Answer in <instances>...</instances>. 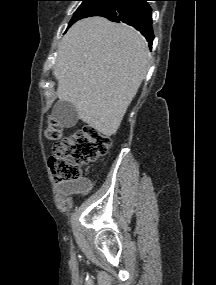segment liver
<instances>
[{"mask_svg": "<svg viewBox=\"0 0 216 285\" xmlns=\"http://www.w3.org/2000/svg\"><path fill=\"white\" fill-rule=\"evenodd\" d=\"M149 67L148 45L132 27L102 17L76 22L58 48L60 101L105 136L115 134Z\"/></svg>", "mask_w": 216, "mask_h": 285, "instance_id": "1", "label": "liver"}]
</instances>
